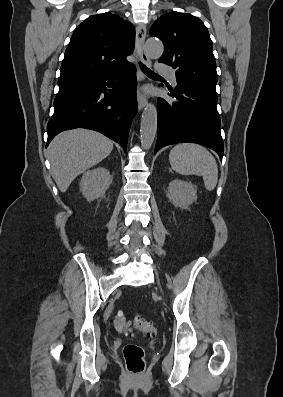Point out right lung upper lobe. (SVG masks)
<instances>
[{
  "label": "right lung upper lobe",
  "mask_w": 283,
  "mask_h": 397,
  "mask_svg": "<svg viewBox=\"0 0 283 397\" xmlns=\"http://www.w3.org/2000/svg\"><path fill=\"white\" fill-rule=\"evenodd\" d=\"M135 31L110 12L92 15L74 31L61 64L58 85L121 70L130 65Z\"/></svg>",
  "instance_id": "obj_1"
}]
</instances>
